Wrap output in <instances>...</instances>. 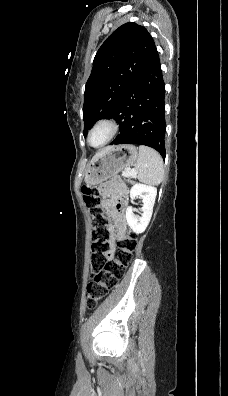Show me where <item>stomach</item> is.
<instances>
[{
	"label": "stomach",
	"instance_id": "0dacf381",
	"mask_svg": "<svg viewBox=\"0 0 228 396\" xmlns=\"http://www.w3.org/2000/svg\"><path fill=\"white\" fill-rule=\"evenodd\" d=\"M137 158L138 152L134 145L113 146L89 164L85 173V182L89 185L99 184L123 169L133 166Z\"/></svg>",
	"mask_w": 228,
	"mask_h": 396
}]
</instances>
